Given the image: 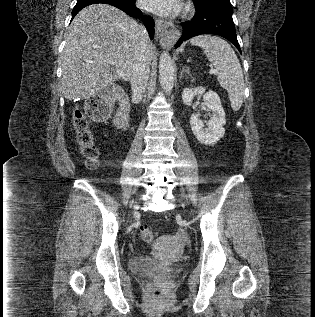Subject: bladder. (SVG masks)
Returning <instances> with one entry per match:
<instances>
[{
    "instance_id": "31cf9c89",
    "label": "bladder",
    "mask_w": 315,
    "mask_h": 317,
    "mask_svg": "<svg viewBox=\"0 0 315 317\" xmlns=\"http://www.w3.org/2000/svg\"><path fill=\"white\" fill-rule=\"evenodd\" d=\"M131 269L143 276H151L164 272L166 268L157 260L150 257H133L130 261Z\"/></svg>"
}]
</instances>
